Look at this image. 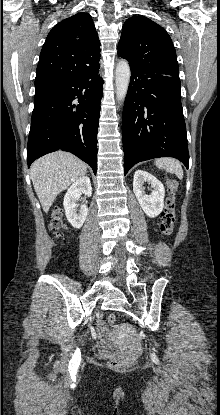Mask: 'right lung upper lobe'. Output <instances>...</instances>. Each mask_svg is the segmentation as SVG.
I'll return each mask as SVG.
<instances>
[{
  "instance_id": "cb5924a9",
  "label": "right lung upper lobe",
  "mask_w": 220,
  "mask_h": 415,
  "mask_svg": "<svg viewBox=\"0 0 220 415\" xmlns=\"http://www.w3.org/2000/svg\"><path fill=\"white\" fill-rule=\"evenodd\" d=\"M100 41L88 13H77L55 25L40 53L35 86L59 85L99 68Z\"/></svg>"
}]
</instances>
